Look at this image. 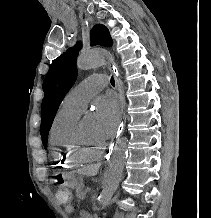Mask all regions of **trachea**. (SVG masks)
Listing matches in <instances>:
<instances>
[{"instance_id":"trachea-1","label":"trachea","mask_w":211,"mask_h":218,"mask_svg":"<svg viewBox=\"0 0 211 218\" xmlns=\"http://www.w3.org/2000/svg\"><path fill=\"white\" fill-rule=\"evenodd\" d=\"M110 82H111V85L114 87V86H115V80H114V78H113V77H111V80H110Z\"/></svg>"}]
</instances>
